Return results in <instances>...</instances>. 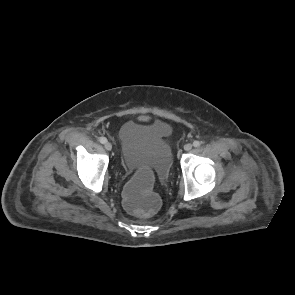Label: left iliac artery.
Here are the masks:
<instances>
[{
    "label": "left iliac artery",
    "mask_w": 295,
    "mask_h": 295,
    "mask_svg": "<svg viewBox=\"0 0 295 295\" xmlns=\"http://www.w3.org/2000/svg\"><path fill=\"white\" fill-rule=\"evenodd\" d=\"M200 145H201V142H200V141L195 140V141L193 142V146H194V147H199Z\"/></svg>",
    "instance_id": "left-iliac-artery-1"
}]
</instances>
